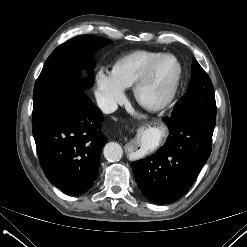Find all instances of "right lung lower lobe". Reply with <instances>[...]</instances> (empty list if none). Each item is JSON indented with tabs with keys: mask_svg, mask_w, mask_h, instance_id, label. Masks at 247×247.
Returning <instances> with one entry per match:
<instances>
[{
	"mask_svg": "<svg viewBox=\"0 0 247 247\" xmlns=\"http://www.w3.org/2000/svg\"><path fill=\"white\" fill-rule=\"evenodd\" d=\"M103 115L82 91H74L33 135L42 169L51 183L70 195L89 190L99 172L107 138Z\"/></svg>",
	"mask_w": 247,
	"mask_h": 247,
	"instance_id": "1",
	"label": "right lung lower lobe"
}]
</instances>
